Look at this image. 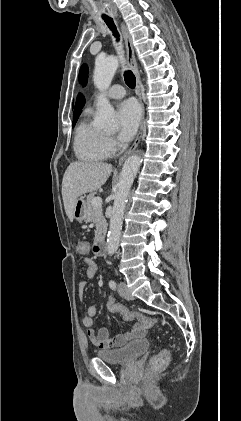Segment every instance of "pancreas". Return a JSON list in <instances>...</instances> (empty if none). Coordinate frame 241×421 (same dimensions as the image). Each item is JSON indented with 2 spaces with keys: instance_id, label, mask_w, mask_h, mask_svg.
<instances>
[{
  "instance_id": "pancreas-1",
  "label": "pancreas",
  "mask_w": 241,
  "mask_h": 421,
  "mask_svg": "<svg viewBox=\"0 0 241 421\" xmlns=\"http://www.w3.org/2000/svg\"><path fill=\"white\" fill-rule=\"evenodd\" d=\"M94 193H91L87 196L86 200V220L89 222L95 223V236L99 237L100 235L104 234L106 231L107 223L102 213L101 207H94L92 204V200L94 199Z\"/></svg>"
}]
</instances>
